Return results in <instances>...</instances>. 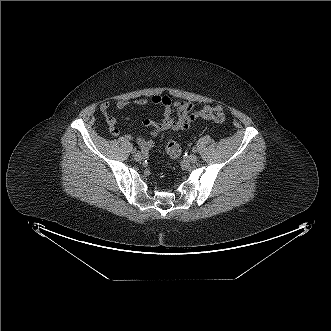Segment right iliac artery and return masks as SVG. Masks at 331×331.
I'll list each match as a JSON object with an SVG mask.
<instances>
[{
  "instance_id": "1",
  "label": "right iliac artery",
  "mask_w": 331,
  "mask_h": 331,
  "mask_svg": "<svg viewBox=\"0 0 331 331\" xmlns=\"http://www.w3.org/2000/svg\"><path fill=\"white\" fill-rule=\"evenodd\" d=\"M133 152H134V153H137V152H138V149H137V148H134V149H133Z\"/></svg>"
}]
</instances>
